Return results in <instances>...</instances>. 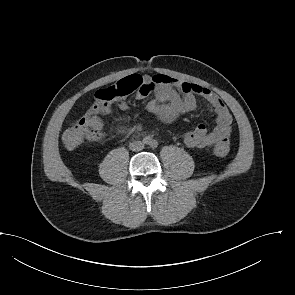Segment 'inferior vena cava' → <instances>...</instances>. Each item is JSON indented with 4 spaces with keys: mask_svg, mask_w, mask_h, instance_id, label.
<instances>
[{
    "mask_svg": "<svg viewBox=\"0 0 295 295\" xmlns=\"http://www.w3.org/2000/svg\"><path fill=\"white\" fill-rule=\"evenodd\" d=\"M129 147L132 151H141L144 148V144L141 141H133Z\"/></svg>",
    "mask_w": 295,
    "mask_h": 295,
    "instance_id": "obj_1",
    "label": "inferior vena cava"
}]
</instances>
